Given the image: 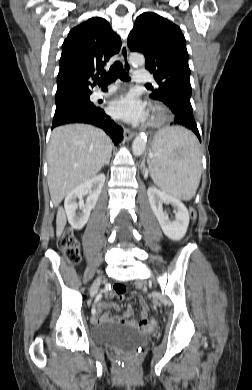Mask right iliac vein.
Instances as JSON below:
<instances>
[{
	"mask_svg": "<svg viewBox=\"0 0 252 390\" xmlns=\"http://www.w3.org/2000/svg\"><path fill=\"white\" fill-rule=\"evenodd\" d=\"M100 282H101V278H98L92 285L91 289H90V294L91 295H94L98 288H99V285H100Z\"/></svg>",
	"mask_w": 252,
	"mask_h": 390,
	"instance_id": "1",
	"label": "right iliac vein"
}]
</instances>
